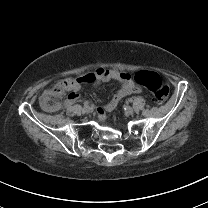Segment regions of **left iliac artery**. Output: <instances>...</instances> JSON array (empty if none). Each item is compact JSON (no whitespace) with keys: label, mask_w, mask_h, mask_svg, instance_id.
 I'll list each match as a JSON object with an SVG mask.
<instances>
[{"label":"left iliac artery","mask_w":208,"mask_h":208,"mask_svg":"<svg viewBox=\"0 0 208 208\" xmlns=\"http://www.w3.org/2000/svg\"><path fill=\"white\" fill-rule=\"evenodd\" d=\"M128 102H133V99L132 98H128V100H127Z\"/></svg>","instance_id":"left-iliac-artery-1"}]
</instances>
